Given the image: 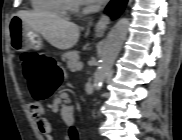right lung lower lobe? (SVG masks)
I'll return each mask as SVG.
<instances>
[{
    "mask_svg": "<svg viewBox=\"0 0 182 140\" xmlns=\"http://www.w3.org/2000/svg\"><path fill=\"white\" fill-rule=\"evenodd\" d=\"M127 0H111L107 7V12L111 14L113 18H117L123 11Z\"/></svg>",
    "mask_w": 182,
    "mask_h": 140,
    "instance_id": "right-lung-lower-lobe-1",
    "label": "right lung lower lobe"
}]
</instances>
